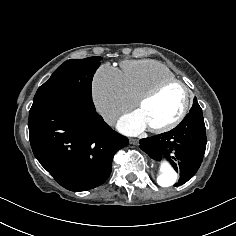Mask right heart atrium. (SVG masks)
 I'll list each match as a JSON object with an SVG mask.
<instances>
[{
    "label": "right heart atrium",
    "instance_id": "1",
    "mask_svg": "<svg viewBox=\"0 0 236 236\" xmlns=\"http://www.w3.org/2000/svg\"><path fill=\"white\" fill-rule=\"evenodd\" d=\"M91 93L97 115L109 125L134 104L123 74L110 64H103L96 70Z\"/></svg>",
    "mask_w": 236,
    "mask_h": 236
}]
</instances>
